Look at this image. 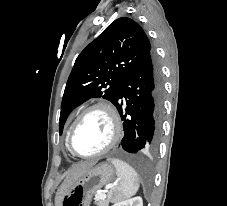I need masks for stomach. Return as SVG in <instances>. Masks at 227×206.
I'll use <instances>...</instances> for the list:
<instances>
[{"label":"stomach","mask_w":227,"mask_h":206,"mask_svg":"<svg viewBox=\"0 0 227 206\" xmlns=\"http://www.w3.org/2000/svg\"><path fill=\"white\" fill-rule=\"evenodd\" d=\"M114 168L108 163H100L82 175L70 192L61 197V206H89L93 195L112 181Z\"/></svg>","instance_id":"stomach-1"}]
</instances>
